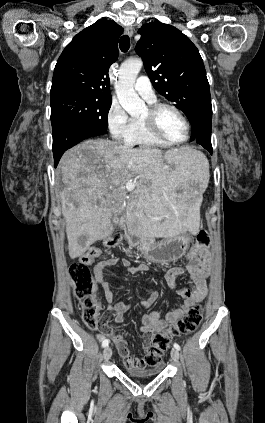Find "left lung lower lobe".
I'll return each mask as SVG.
<instances>
[{
  "instance_id": "1",
  "label": "left lung lower lobe",
  "mask_w": 265,
  "mask_h": 423,
  "mask_svg": "<svg viewBox=\"0 0 265 423\" xmlns=\"http://www.w3.org/2000/svg\"><path fill=\"white\" fill-rule=\"evenodd\" d=\"M211 122H212V113L206 115L200 123V128L194 135L193 140L203 146L212 154V145H211Z\"/></svg>"
}]
</instances>
